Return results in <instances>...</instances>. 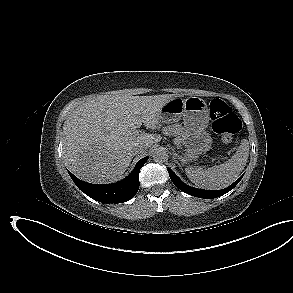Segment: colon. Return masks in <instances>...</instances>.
I'll return each instance as SVG.
<instances>
[{
    "mask_svg": "<svg viewBox=\"0 0 293 293\" xmlns=\"http://www.w3.org/2000/svg\"><path fill=\"white\" fill-rule=\"evenodd\" d=\"M213 130L225 143H232L242 128V122L232 109L220 99L209 102Z\"/></svg>",
    "mask_w": 293,
    "mask_h": 293,
    "instance_id": "1",
    "label": "colon"
}]
</instances>
